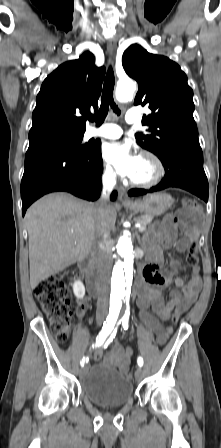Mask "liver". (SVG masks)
<instances>
[{
    "instance_id": "1",
    "label": "liver",
    "mask_w": 221,
    "mask_h": 448,
    "mask_svg": "<svg viewBox=\"0 0 221 448\" xmlns=\"http://www.w3.org/2000/svg\"><path fill=\"white\" fill-rule=\"evenodd\" d=\"M116 215L112 205L99 215L94 203L66 193L48 194L31 205L25 215L31 288L88 255L98 225L110 232Z\"/></svg>"
}]
</instances>
